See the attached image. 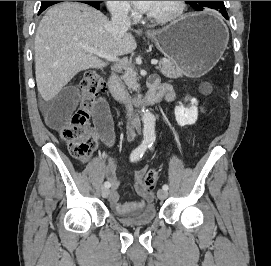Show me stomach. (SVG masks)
I'll list each match as a JSON object with an SVG mask.
<instances>
[{
    "label": "stomach",
    "instance_id": "0dacf381",
    "mask_svg": "<svg viewBox=\"0 0 271 266\" xmlns=\"http://www.w3.org/2000/svg\"><path fill=\"white\" fill-rule=\"evenodd\" d=\"M157 48L178 63L183 74L196 78L209 72L222 57L229 41L228 29L215 14L196 13L151 32Z\"/></svg>",
    "mask_w": 271,
    "mask_h": 266
}]
</instances>
